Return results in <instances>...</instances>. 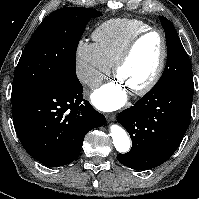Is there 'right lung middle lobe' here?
Instances as JSON below:
<instances>
[{"label":"right lung middle lobe","instance_id":"1","mask_svg":"<svg viewBox=\"0 0 199 199\" xmlns=\"http://www.w3.org/2000/svg\"><path fill=\"white\" fill-rule=\"evenodd\" d=\"M101 15L95 9L66 7L45 17L16 67L11 103L53 83L80 86L75 71L76 49L88 21Z\"/></svg>","mask_w":199,"mask_h":199}]
</instances>
